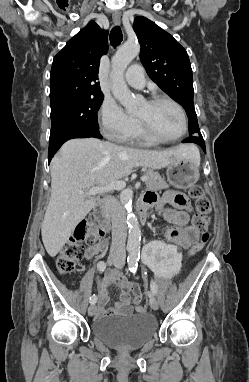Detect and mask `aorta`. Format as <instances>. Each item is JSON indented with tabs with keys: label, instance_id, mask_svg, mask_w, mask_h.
Here are the masks:
<instances>
[{
	"label": "aorta",
	"instance_id": "762f6f07",
	"mask_svg": "<svg viewBox=\"0 0 249 382\" xmlns=\"http://www.w3.org/2000/svg\"><path fill=\"white\" fill-rule=\"evenodd\" d=\"M139 52L140 45L138 42L127 41L116 51L112 58V93L129 112L135 110L137 101L124 81V71ZM132 197V190L127 189L121 193L120 200L127 211V225L129 228L127 251L130 256H138L140 253L141 230L138 219L132 212Z\"/></svg>",
	"mask_w": 249,
	"mask_h": 382
}]
</instances>
